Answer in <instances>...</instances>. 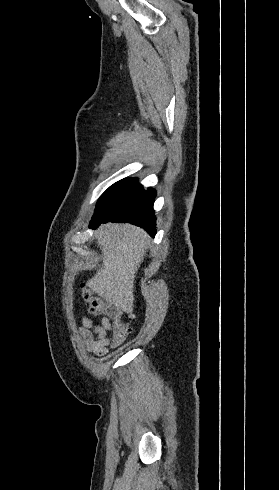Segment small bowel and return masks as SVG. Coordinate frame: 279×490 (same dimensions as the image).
I'll use <instances>...</instances> for the list:
<instances>
[{"mask_svg":"<svg viewBox=\"0 0 279 490\" xmlns=\"http://www.w3.org/2000/svg\"><path fill=\"white\" fill-rule=\"evenodd\" d=\"M112 330V324L106 318L95 323L91 318L84 317L79 328V335L82 344L89 352L104 356L108 353Z\"/></svg>","mask_w":279,"mask_h":490,"instance_id":"1","label":"small bowel"}]
</instances>
